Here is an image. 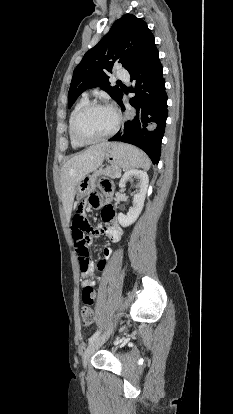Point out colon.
<instances>
[{
    "label": "colon",
    "instance_id": "1",
    "mask_svg": "<svg viewBox=\"0 0 233 414\" xmlns=\"http://www.w3.org/2000/svg\"><path fill=\"white\" fill-rule=\"evenodd\" d=\"M103 192H110L111 183L108 180H102L100 182ZM91 227L81 210L77 211L73 217V238L75 247L77 249L80 270L86 271L90 268L92 261L89 255V233ZM95 298V291L93 287L86 286L82 291V300L84 306L82 308V324L85 328L92 325L94 321L93 303Z\"/></svg>",
    "mask_w": 233,
    "mask_h": 414
}]
</instances>
